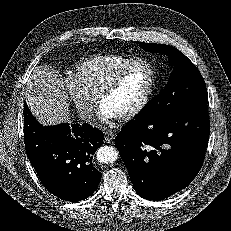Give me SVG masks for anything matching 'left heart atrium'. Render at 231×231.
Segmentation results:
<instances>
[{"label": "left heart atrium", "instance_id": "1", "mask_svg": "<svg viewBox=\"0 0 231 231\" xmlns=\"http://www.w3.org/2000/svg\"><path fill=\"white\" fill-rule=\"evenodd\" d=\"M99 115L101 117L102 120L105 121H110L114 118H116L117 116L104 104H101V107L99 109Z\"/></svg>", "mask_w": 231, "mask_h": 231}]
</instances>
